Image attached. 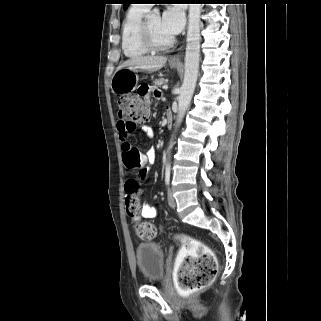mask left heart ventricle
Returning a JSON list of instances; mask_svg holds the SVG:
<instances>
[{
    "label": "left heart ventricle",
    "mask_w": 321,
    "mask_h": 321,
    "mask_svg": "<svg viewBox=\"0 0 321 321\" xmlns=\"http://www.w3.org/2000/svg\"><path fill=\"white\" fill-rule=\"evenodd\" d=\"M148 22L152 36L156 42L165 43L172 38V36L161 27L160 16L158 14H151Z\"/></svg>",
    "instance_id": "left-heart-ventricle-1"
}]
</instances>
